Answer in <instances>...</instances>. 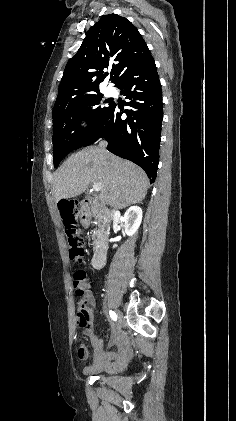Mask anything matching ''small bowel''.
I'll return each instance as SVG.
<instances>
[{
    "label": "small bowel",
    "mask_w": 236,
    "mask_h": 421,
    "mask_svg": "<svg viewBox=\"0 0 236 421\" xmlns=\"http://www.w3.org/2000/svg\"><path fill=\"white\" fill-rule=\"evenodd\" d=\"M93 304H94V298H93L92 294L91 293H87L84 296V298H83V300L81 302V305L85 306L88 310H90L91 307L93 306ZM84 333L86 335L92 336V333H91L90 330H86ZM118 339H120L119 336L114 337V341H117ZM94 343H95V348H96V359H95V361H96L98 355L100 354V352L103 351V349H102L103 343L101 341H96V340H94ZM109 355L112 356V357H115L117 354H115V353H109ZM87 356H88V353H86L83 357H80V356L79 357L81 359H83V360H86L87 359Z\"/></svg>",
    "instance_id": "obj_1"
}]
</instances>
